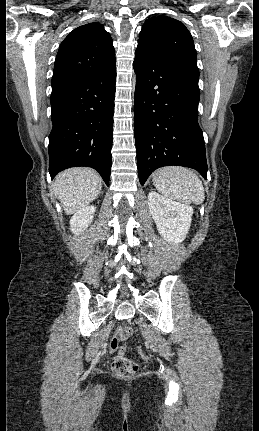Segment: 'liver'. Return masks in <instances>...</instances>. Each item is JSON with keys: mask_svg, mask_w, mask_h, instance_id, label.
Listing matches in <instances>:
<instances>
[{"mask_svg": "<svg viewBox=\"0 0 259 431\" xmlns=\"http://www.w3.org/2000/svg\"><path fill=\"white\" fill-rule=\"evenodd\" d=\"M102 179L90 168L75 167L59 173L54 181L55 196L67 215L88 206L100 193Z\"/></svg>", "mask_w": 259, "mask_h": 431, "instance_id": "obj_1", "label": "liver"}]
</instances>
